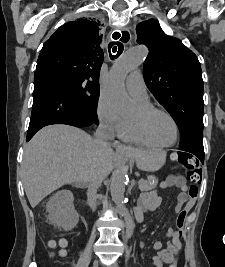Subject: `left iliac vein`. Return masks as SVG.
I'll return each instance as SVG.
<instances>
[{
  "label": "left iliac vein",
  "mask_w": 225,
  "mask_h": 267,
  "mask_svg": "<svg viewBox=\"0 0 225 267\" xmlns=\"http://www.w3.org/2000/svg\"><path fill=\"white\" fill-rule=\"evenodd\" d=\"M111 267H119L118 265H116V264H114V265H112Z\"/></svg>",
  "instance_id": "4c4485c4"
}]
</instances>
